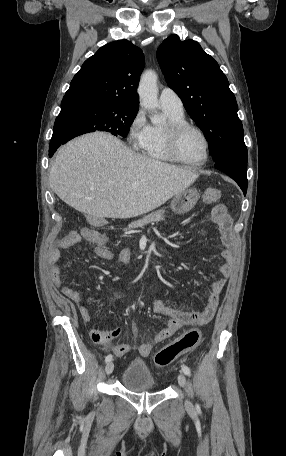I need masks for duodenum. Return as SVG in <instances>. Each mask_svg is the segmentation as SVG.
Wrapping results in <instances>:
<instances>
[{
  "label": "duodenum",
  "instance_id": "duodenum-1",
  "mask_svg": "<svg viewBox=\"0 0 286 456\" xmlns=\"http://www.w3.org/2000/svg\"><path fill=\"white\" fill-rule=\"evenodd\" d=\"M97 222L99 225H104L106 223L105 219L103 218H98Z\"/></svg>",
  "mask_w": 286,
  "mask_h": 456
}]
</instances>
